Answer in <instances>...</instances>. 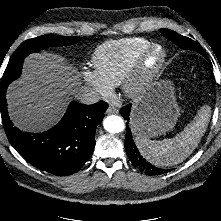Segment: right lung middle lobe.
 <instances>
[{
    "instance_id": "obj_1",
    "label": "right lung middle lobe",
    "mask_w": 221,
    "mask_h": 221,
    "mask_svg": "<svg viewBox=\"0 0 221 221\" xmlns=\"http://www.w3.org/2000/svg\"><path fill=\"white\" fill-rule=\"evenodd\" d=\"M79 41L77 37H65L58 35H43L23 42L14 52L1 79V85L9 84L21 74L24 58L33 52H37L49 46L71 45Z\"/></svg>"
}]
</instances>
